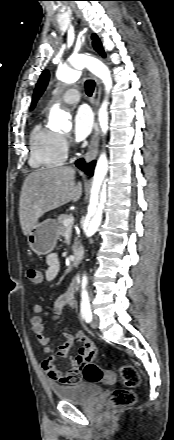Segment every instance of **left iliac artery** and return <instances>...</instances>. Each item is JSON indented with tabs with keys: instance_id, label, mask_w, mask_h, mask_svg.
I'll return each instance as SVG.
<instances>
[{
	"instance_id": "44dca946",
	"label": "left iliac artery",
	"mask_w": 174,
	"mask_h": 440,
	"mask_svg": "<svg viewBox=\"0 0 174 440\" xmlns=\"http://www.w3.org/2000/svg\"><path fill=\"white\" fill-rule=\"evenodd\" d=\"M81 313L84 320L89 323L92 320V312L89 303V296L87 292H82L81 295Z\"/></svg>"
}]
</instances>
